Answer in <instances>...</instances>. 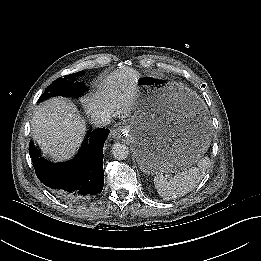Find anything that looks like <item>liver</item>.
<instances>
[{"label": "liver", "mask_w": 261, "mask_h": 261, "mask_svg": "<svg viewBox=\"0 0 261 261\" xmlns=\"http://www.w3.org/2000/svg\"><path fill=\"white\" fill-rule=\"evenodd\" d=\"M141 74L133 68L115 70L100 84L99 91L82 99L88 114L108 110L127 118L134 111ZM34 140L45 156L62 161L70 158L82 142L85 125L76 107L62 98H51L38 106L31 121Z\"/></svg>", "instance_id": "liver-1"}]
</instances>
